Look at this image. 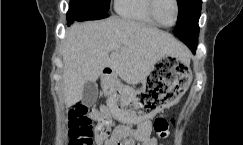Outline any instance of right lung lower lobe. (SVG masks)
Returning a JSON list of instances; mask_svg holds the SVG:
<instances>
[{"instance_id": "obj_1", "label": "right lung lower lobe", "mask_w": 243, "mask_h": 145, "mask_svg": "<svg viewBox=\"0 0 243 145\" xmlns=\"http://www.w3.org/2000/svg\"><path fill=\"white\" fill-rule=\"evenodd\" d=\"M107 12L99 11L91 6L70 5L67 13L68 24L74 21L97 20L108 17Z\"/></svg>"}]
</instances>
